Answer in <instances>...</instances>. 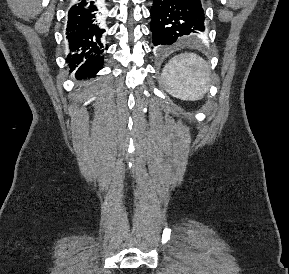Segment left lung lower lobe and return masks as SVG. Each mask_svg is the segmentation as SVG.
I'll return each instance as SVG.
<instances>
[{
  "instance_id": "0a47b994",
  "label": "left lung lower lobe",
  "mask_w": 289,
  "mask_h": 274,
  "mask_svg": "<svg viewBox=\"0 0 289 274\" xmlns=\"http://www.w3.org/2000/svg\"><path fill=\"white\" fill-rule=\"evenodd\" d=\"M150 13L154 46L196 40L204 35L201 0H153Z\"/></svg>"
}]
</instances>
